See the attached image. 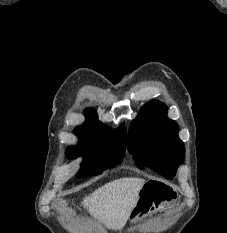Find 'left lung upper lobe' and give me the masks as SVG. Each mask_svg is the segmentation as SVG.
Segmentation results:
<instances>
[{
    "label": "left lung upper lobe",
    "instance_id": "left-lung-upper-lobe-1",
    "mask_svg": "<svg viewBox=\"0 0 227 233\" xmlns=\"http://www.w3.org/2000/svg\"><path fill=\"white\" fill-rule=\"evenodd\" d=\"M167 106L158 100L144 105L129 130L128 151L138 167L146 163L167 179H172L185 158L178 137V124L167 117Z\"/></svg>",
    "mask_w": 227,
    "mask_h": 233
}]
</instances>
